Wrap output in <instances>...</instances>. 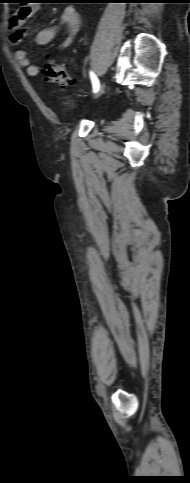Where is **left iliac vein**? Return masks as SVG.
Here are the masks:
<instances>
[{
  "label": "left iliac vein",
  "instance_id": "left-iliac-vein-1",
  "mask_svg": "<svg viewBox=\"0 0 190 483\" xmlns=\"http://www.w3.org/2000/svg\"><path fill=\"white\" fill-rule=\"evenodd\" d=\"M105 89V81H102L99 87V92L102 93Z\"/></svg>",
  "mask_w": 190,
  "mask_h": 483
}]
</instances>
